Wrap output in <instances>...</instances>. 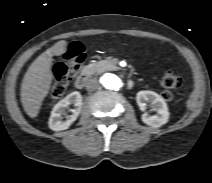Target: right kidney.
I'll list each match as a JSON object with an SVG mask.
<instances>
[{"mask_svg":"<svg viewBox=\"0 0 212 183\" xmlns=\"http://www.w3.org/2000/svg\"><path fill=\"white\" fill-rule=\"evenodd\" d=\"M74 105L73 114L66 116L69 106ZM82 108V96L78 91L72 92L64 99L60 100L52 109L49 118V128L53 131H61L68 129L70 125L77 119ZM66 119L63 120V117Z\"/></svg>","mask_w":212,"mask_h":183,"instance_id":"obj_1","label":"right kidney"}]
</instances>
